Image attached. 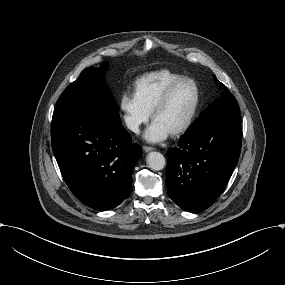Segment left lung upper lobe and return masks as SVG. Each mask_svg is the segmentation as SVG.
I'll return each mask as SVG.
<instances>
[{
    "instance_id": "5c2ea615",
    "label": "left lung upper lobe",
    "mask_w": 285,
    "mask_h": 285,
    "mask_svg": "<svg viewBox=\"0 0 285 285\" xmlns=\"http://www.w3.org/2000/svg\"><path fill=\"white\" fill-rule=\"evenodd\" d=\"M214 79L218 86H223V91L219 98H217L200 116L199 118L189 127L188 130L192 129L194 126L198 125L205 119L221 114L227 111H233L238 110L239 111V105L235 97L228 91V89L222 85L221 82L217 80V78L214 76ZM187 130V131H188Z\"/></svg>"
}]
</instances>
